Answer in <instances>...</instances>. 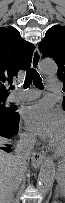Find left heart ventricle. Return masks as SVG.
I'll return each mask as SVG.
<instances>
[{
    "label": "left heart ventricle",
    "instance_id": "b2bd125f",
    "mask_svg": "<svg viewBox=\"0 0 65 203\" xmlns=\"http://www.w3.org/2000/svg\"><path fill=\"white\" fill-rule=\"evenodd\" d=\"M53 145L60 149L63 150L65 148V130L63 133L53 142Z\"/></svg>",
    "mask_w": 65,
    "mask_h": 203
}]
</instances>
